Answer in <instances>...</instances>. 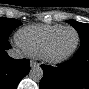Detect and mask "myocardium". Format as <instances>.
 Returning a JSON list of instances; mask_svg holds the SVG:
<instances>
[{"instance_id": "f54148a6", "label": "myocardium", "mask_w": 89, "mask_h": 89, "mask_svg": "<svg viewBox=\"0 0 89 89\" xmlns=\"http://www.w3.org/2000/svg\"><path fill=\"white\" fill-rule=\"evenodd\" d=\"M65 30H72L75 35H76V41L74 46L72 47V49L67 52L64 55L61 56H52L49 54V48L50 45L52 43V41L63 31ZM80 43V34L79 32L72 26H63L62 28H60L58 31H56L54 34H52L45 42V44L43 45L42 48V53H41V58L49 63H53V64H58V63H62L66 60H68L77 50L78 46Z\"/></svg>"}]
</instances>
